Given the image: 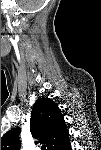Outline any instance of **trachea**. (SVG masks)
<instances>
[{
  "label": "trachea",
  "instance_id": "1",
  "mask_svg": "<svg viewBox=\"0 0 101 150\" xmlns=\"http://www.w3.org/2000/svg\"><path fill=\"white\" fill-rule=\"evenodd\" d=\"M41 149H42V150H46V146H45V145H42V146H41Z\"/></svg>",
  "mask_w": 101,
  "mask_h": 150
}]
</instances>
